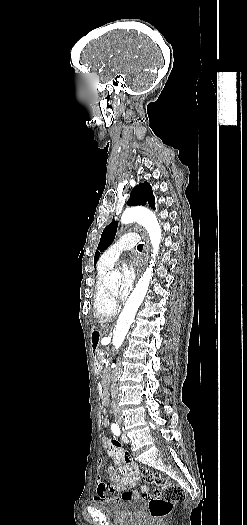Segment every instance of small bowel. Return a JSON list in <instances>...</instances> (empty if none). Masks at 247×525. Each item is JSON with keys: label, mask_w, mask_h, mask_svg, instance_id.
I'll return each instance as SVG.
<instances>
[{"label": "small bowel", "mask_w": 247, "mask_h": 525, "mask_svg": "<svg viewBox=\"0 0 247 525\" xmlns=\"http://www.w3.org/2000/svg\"><path fill=\"white\" fill-rule=\"evenodd\" d=\"M102 441L105 452L111 457L117 469L109 467L106 473L109 478L116 483L118 491H121L120 499L123 501H131L138 498L141 494L147 493V486H142L141 491L132 489L139 480L140 468L128 452L122 449L115 439L108 436H104ZM97 464L98 467H101L102 461L99 460ZM98 483V495L102 498L107 497L109 491L113 488L112 483L102 481L100 475H98Z\"/></svg>", "instance_id": "c3829d8e"}]
</instances>
